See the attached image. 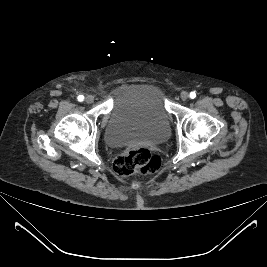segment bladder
<instances>
[{
    "mask_svg": "<svg viewBox=\"0 0 267 267\" xmlns=\"http://www.w3.org/2000/svg\"><path fill=\"white\" fill-rule=\"evenodd\" d=\"M170 134V115L162 89L153 83H127L115 92L104 130L114 147L135 141L159 143Z\"/></svg>",
    "mask_w": 267,
    "mask_h": 267,
    "instance_id": "31cf9c89",
    "label": "bladder"
}]
</instances>
